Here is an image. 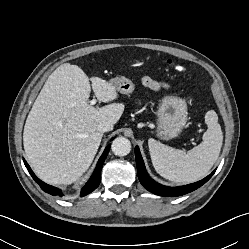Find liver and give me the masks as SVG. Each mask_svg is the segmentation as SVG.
<instances>
[{"instance_id":"liver-1","label":"liver","mask_w":249,"mask_h":249,"mask_svg":"<svg viewBox=\"0 0 249 249\" xmlns=\"http://www.w3.org/2000/svg\"><path fill=\"white\" fill-rule=\"evenodd\" d=\"M90 82L101 108L88 104ZM115 86L100 77L89 78L76 65H60L47 79L23 132V144L35 173L46 183L68 185L91 165L102 140L97 126L118 122L122 103Z\"/></svg>"}]
</instances>
